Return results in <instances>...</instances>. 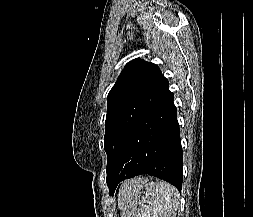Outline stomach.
Masks as SVG:
<instances>
[{
  "label": "stomach",
  "mask_w": 253,
  "mask_h": 217,
  "mask_svg": "<svg viewBox=\"0 0 253 217\" xmlns=\"http://www.w3.org/2000/svg\"><path fill=\"white\" fill-rule=\"evenodd\" d=\"M140 188L132 191L131 195L123 201H119L121 217H138V209L141 205Z\"/></svg>",
  "instance_id": "obj_1"
}]
</instances>
